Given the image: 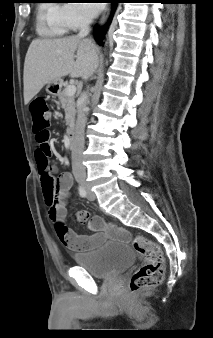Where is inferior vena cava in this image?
<instances>
[{"instance_id":"obj_1","label":"inferior vena cava","mask_w":213,"mask_h":338,"mask_svg":"<svg viewBox=\"0 0 213 338\" xmlns=\"http://www.w3.org/2000/svg\"><path fill=\"white\" fill-rule=\"evenodd\" d=\"M90 19L83 18L78 37H86L90 32ZM87 95L82 96V103L78 107V115L75 127V133L72 141V171L76 180L86 179V169L82 163L83 161V150H84V130L86 125V107Z\"/></svg>"}]
</instances>
